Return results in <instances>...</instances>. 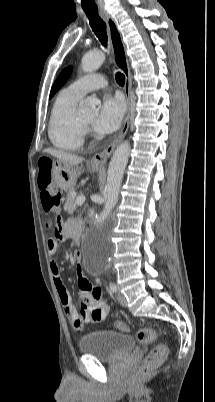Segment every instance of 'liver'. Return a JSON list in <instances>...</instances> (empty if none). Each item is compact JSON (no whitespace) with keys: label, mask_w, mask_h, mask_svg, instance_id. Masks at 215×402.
I'll return each instance as SVG.
<instances>
[{"label":"liver","mask_w":215,"mask_h":402,"mask_svg":"<svg viewBox=\"0 0 215 402\" xmlns=\"http://www.w3.org/2000/svg\"><path fill=\"white\" fill-rule=\"evenodd\" d=\"M44 152L49 153L52 156L56 157L58 160L65 162L67 164L73 165V166H76L83 161L82 157H79L74 154L66 153L63 151H59L56 149H45Z\"/></svg>","instance_id":"liver-1"}]
</instances>
